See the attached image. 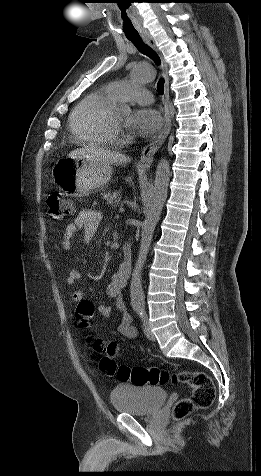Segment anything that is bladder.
<instances>
[{
	"label": "bladder",
	"mask_w": 261,
	"mask_h": 476,
	"mask_svg": "<svg viewBox=\"0 0 261 476\" xmlns=\"http://www.w3.org/2000/svg\"><path fill=\"white\" fill-rule=\"evenodd\" d=\"M167 398L166 391L155 385L122 384L115 387L110 399L120 413L149 416L159 410Z\"/></svg>",
	"instance_id": "1"
}]
</instances>
